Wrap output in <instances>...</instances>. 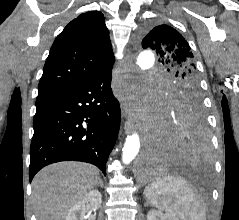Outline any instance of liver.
Listing matches in <instances>:
<instances>
[{"label": "liver", "instance_id": "1", "mask_svg": "<svg viewBox=\"0 0 239 220\" xmlns=\"http://www.w3.org/2000/svg\"><path fill=\"white\" fill-rule=\"evenodd\" d=\"M99 178L94 166L80 162L65 161L43 168L32 182L37 220H65Z\"/></svg>", "mask_w": 239, "mask_h": 220}]
</instances>
